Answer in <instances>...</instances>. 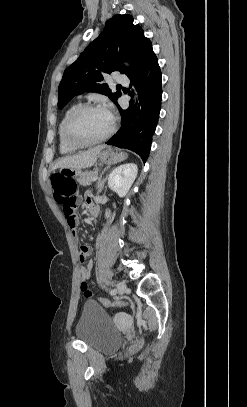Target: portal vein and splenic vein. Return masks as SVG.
<instances>
[{
	"label": "portal vein and splenic vein",
	"mask_w": 247,
	"mask_h": 407,
	"mask_svg": "<svg viewBox=\"0 0 247 407\" xmlns=\"http://www.w3.org/2000/svg\"><path fill=\"white\" fill-rule=\"evenodd\" d=\"M97 179H98V176L95 175L91 180H92V181H95V180H97Z\"/></svg>",
	"instance_id": "obj_1"
}]
</instances>
